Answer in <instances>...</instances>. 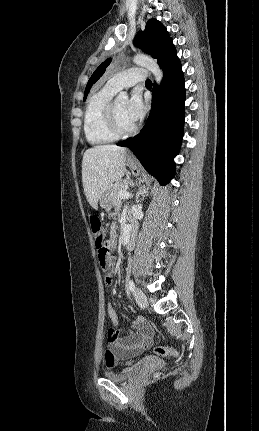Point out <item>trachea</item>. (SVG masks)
<instances>
[{
    "instance_id": "obj_1",
    "label": "trachea",
    "mask_w": 259,
    "mask_h": 431,
    "mask_svg": "<svg viewBox=\"0 0 259 431\" xmlns=\"http://www.w3.org/2000/svg\"><path fill=\"white\" fill-rule=\"evenodd\" d=\"M145 84H146V85H152V81H151L150 79H147V80L145 81Z\"/></svg>"
}]
</instances>
